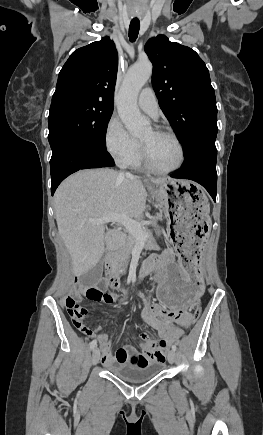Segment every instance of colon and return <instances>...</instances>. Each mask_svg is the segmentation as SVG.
<instances>
[{
    "instance_id": "1",
    "label": "colon",
    "mask_w": 263,
    "mask_h": 435,
    "mask_svg": "<svg viewBox=\"0 0 263 435\" xmlns=\"http://www.w3.org/2000/svg\"><path fill=\"white\" fill-rule=\"evenodd\" d=\"M76 289L80 290L87 299L92 301L110 303L114 299L112 294L103 291L102 285L86 286L82 284H77ZM66 307L74 326L82 333L91 336L92 331L84 322V319L87 314V310L80 305V303L76 300L75 297L72 296H69L66 299ZM200 313H201V306L199 304L195 305L193 308L192 315L190 316L189 320L182 325V328L187 329L193 322H195L198 319ZM128 339H132V336H128ZM169 341L173 343L171 339Z\"/></svg>"
}]
</instances>
